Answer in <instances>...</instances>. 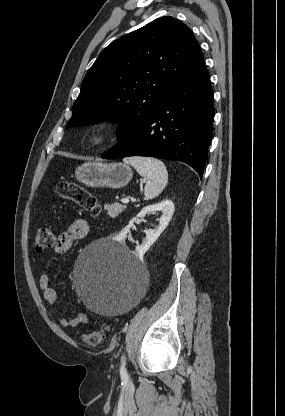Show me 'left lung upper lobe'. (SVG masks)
<instances>
[{"label": "left lung upper lobe", "instance_id": "obj_1", "mask_svg": "<svg viewBox=\"0 0 285 416\" xmlns=\"http://www.w3.org/2000/svg\"><path fill=\"white\" fill-rule=\"evenodd\" d=\"M203 55L191 30L171 16L115 40L82 81L67 128L118 123V139L142 123L198 68Z\"/></svg>", "mask_w": 285, "mask_h": 416}]
</instances>
